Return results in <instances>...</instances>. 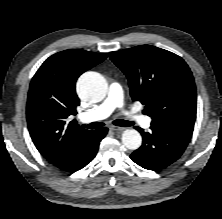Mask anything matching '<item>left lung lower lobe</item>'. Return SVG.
<instances>
[{"mask_svg": "<svg viewBox=\"0 0 222 219\" xmlns=\"http://www.w3.org/2000/svg\"><path fill=\"white\" fill-rule=\"evenodd\" d=\"M143 137L142 146L130 158L139 166L157 171L175 162L184 152L190 140L167 129L151 126L150 132L135 127Z\"/></svg>", "mask_w": 222, "mask_h": 219, "instance_id": "obj_1", "label": "left lung lower lobe"}]
</instances>
